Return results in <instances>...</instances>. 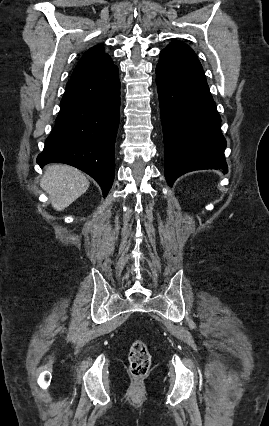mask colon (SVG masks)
I'll use <instances>...</instances> for the list:
<instances>
[{
	"mask_svg": "<svg viewBox=\"0 0 269 426\" xmlns=\"http://www.w3.org/2000/svg\"><path fill=\"white\" fill-rule=\"evenodd\" d=\"M130 372L135 378L145 376L150 368L151 355L144 341L136 340L129 353Z\"/></svg>",
	"mask_w": 269,
	"mask_h": 426,
	"instance_id": "5ec220e1",
	"label": "colon"
}]
</instances>
